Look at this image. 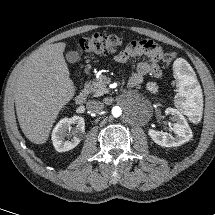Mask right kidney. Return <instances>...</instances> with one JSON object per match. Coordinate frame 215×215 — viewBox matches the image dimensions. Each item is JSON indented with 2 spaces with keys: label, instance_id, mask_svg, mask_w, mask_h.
<instances>
[{
  "label": "right kidney",
  "instance_id": "obj_1",
  "mask_svg": "<svg viewBox=\"0 0 215 215\" xmlns=\"http://www.w3.org/2000/svg\"><path fill=\"white\" fill-rule=\"evenodd\" d=\"M75 125L71 132H68L71 125ZM85 133L84 118L73 116L72 118L61 119L52 131V142L58 152H65L76 147ZM68 139H65V137Z\"/></svg>",
  "mask_w": 215,
  "mask_h": 215
}]
</instances>
